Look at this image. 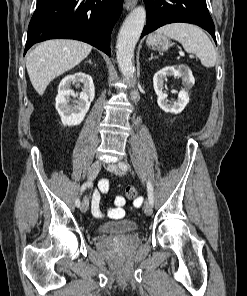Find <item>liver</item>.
Here are the masks:
<instances>
[{
  "instance_id": "obj_1",
  "label": "liver",
  "mask_w": 247,
  "mask_h": 296,
  "mask_svg": "<svg viewBox=\"0 0 247 296\" xmlns=\"http://www.w3.org/2000/svg\"><path fill=\"white\" fill-rule=\"evenodd\" d=\"M92 46L71 39L48 40L33 49L26 60L30 81L39 95L49 83L84 60Z\"/></svg>"
}]
</instances>
